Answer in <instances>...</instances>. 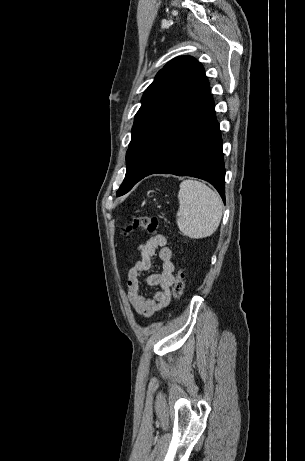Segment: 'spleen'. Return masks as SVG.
Wrapping results in <instances>:
<instances>
[{"mask_svg": "<svg viewBox=\"0 0 305 461\" xmlns=\"http://www.w3.org/2000/svg\"><path fill=\"white\" fill-rule=\"evenodd\" d=\"M178 200L176 223L184 235L199 239L216 231L222 218V202L216 192L202 182L184 180Z\"/></svg>", "mask_w": 305, "mask_h": 461, "instance_id": "1", "label": "spleen"}]
</instances>
